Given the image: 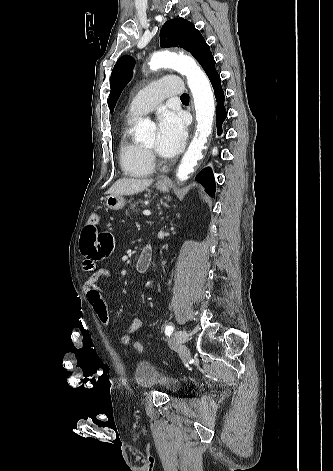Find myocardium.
I'll return each mask as SVG.
<instances>
[{
    "instance_id": "myocardium-1",
    "label": "myocardium",
    "mask_w": 333,
    "mask_h": 471,
    "mask_svg": "<svg viewBox=\"0 0 333 471\" xmlns=\"http://www.w3.org/2000/svg\"><path fill=\"white\" fill-rule=\"evenodd\" d=\"M145 149H146L149 153H152V148L145 147Z\"/></svg>"
}]
</instances>
